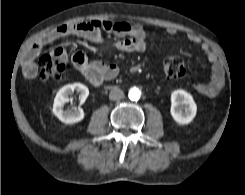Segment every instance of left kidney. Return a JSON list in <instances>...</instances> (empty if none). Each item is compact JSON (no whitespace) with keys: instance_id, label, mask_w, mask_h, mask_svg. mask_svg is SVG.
Here are the masks:
<instances>
[{"instance_id":"1","label":"left kidney","mask_w":245,"mask_h":195,"mask_svg":"<svg viewBox=\"0 0 245 195\" xmlns=\"http://www.w3.org/2000/svg\"><path fill=\"white\" fill-rule=\"evenodd\" d=\"M170 113L174 121L181 125L193 121L197 113V105L190 93L178 89L171 94Z\"/></svg>"}]
</instances>
